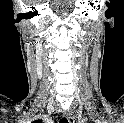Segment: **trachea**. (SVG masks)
Listing matches in <instances>:
<instances>
[{
	"mask_svg": "<svg viewBox=\"0 0 124 123\" xmlns=\"http://www.w3.org/2000/svg\"><path fill=\"white\" fill-rule=\"evenodd\" d=\"M60 123H68V120H67L66 118H62V119L60 120Z\"/></svg>",
	"mask_w": 124,
	"mask_h": 123,
	"instance_id": "trachea-1",
	"label": "trachea"
}]
</instances>
